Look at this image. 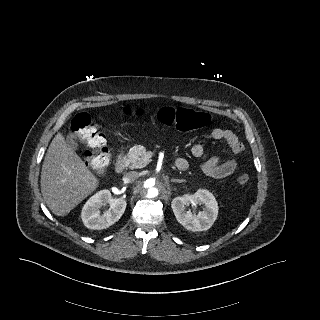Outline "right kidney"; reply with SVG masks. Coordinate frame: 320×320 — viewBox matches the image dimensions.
<instances>
[{"label":"right kidney","instance_id":"ca27d5eb","mask_svg":"<svg viewBox=\"0 0 320 320\" xmlns=\"http://www.w3.org/2000/svg\"><path fill=\"white\" fill-rule=\"evenodd\" d=\"M107 204H110V209L101 215L100 209ZM126 205L124 199L114 201L109 190H101L85 203L81 218L84 225L89 229H106L121 218Z\"/></svg>","mask_w":320,"mask_h":320}]
</instances>
